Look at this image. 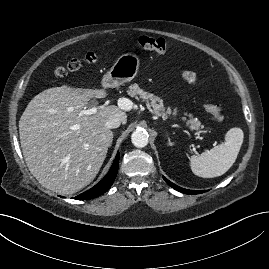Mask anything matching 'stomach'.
<instances>
[{
  "label": "stomach",
  "instance_id": "stomach-1",
  "mask_svg": "<svg viewBox=\"0 0 269 269\" xmlns=\"http://www.w3.org/2000/svg\"><path fill=\"white\" fill-rule=\"evenodd\" d=\"M140 58L135 53L121 55L104 75L102 86L115 88L134 79L139 71Z\"/></svg>",
  "mask_w": 269,
  "mask_h": 269
}]
</instances>
